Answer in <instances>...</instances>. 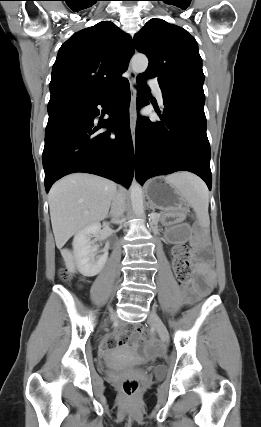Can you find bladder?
I'll use <instances>...</instances> for the list:
<instances>
[{
    "label": "bladder",
    "mask_w": 261,
    "mask_h": 427,
    "mask_svg": "<svg viewBox=\"0 0 261 427\" xmlns=\"http://www.w3.org/2000/svg\"><path fill=\"white\" fill-rule=\"evenodd\" d=\"M153 373L156 376H161L164 373V370L161 367H156V368L153 369Z\"/></svg>",
    "instance_id": "bladder-1"
}]
</instances>
